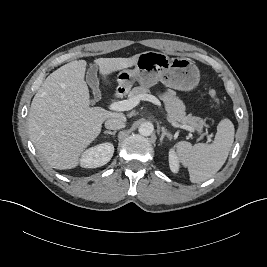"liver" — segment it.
Listing matches in <instances>:
<instances>
[{
  "instance_id": "obj_1",
  "label": "liver",
  "mask_w": 267,
  "mask_h": 267,
  "mask_svg": "<svg viewBox=\"0 0 267 267\" xmlns=\"http://www.w3.org/2000/svg\"><path fill=\"white\" fill-rule=\"evenodd\" d=\"M130 58H99L105 82L115 71L135 65ZM86 62L72 61L51 73L35 94L29 112V135L37 151L55 169L79 164L83 151L101 132L108 118L125 120L122 113L90 107L88 86L84 80Z\"/></svg>"
}]
</instances>
